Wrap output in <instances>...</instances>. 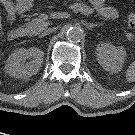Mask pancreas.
Listing matches in <instances>:
<instances>
[{
    "instance_id": "pancreas-1",
    "label": "pancreas",
    "mask_w": 135,
    "mask_h": 135,
    "mask_svg": "<svg viewBox=\"0 0 135 135\" xmlns=\"http://www.w3.org/2000/svg\"><path fill=\"white\" fill-rule=\"evenodd\" d=\"M47 15L41 14L39 17H36L32 19V21L26 26V30L30 34H37L43 30L46 29L48 23H47ZM126 39L131 41L132 40V35L130 33L126 34Z\"/></svg>"
}]
</instances>
